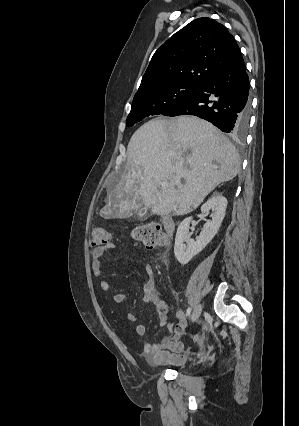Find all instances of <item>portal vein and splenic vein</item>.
Listing matches in <instances>:
<instances>
[{
	"instance_id": "obj_1",
	"label": "portal vein and splenic vein",
	"mask_w": 299,
	"mask_h": 426,
	"mask_svg": "<svg viewBox=\"0 0 299 426\" xmlns=\"http://www.w3.org/2000/svg\"><path fill=\"white\" fill-rule=\"evenodd\" d=\"M160 185H161L162 187H165V186L167 185V183H166V182H161V183H160Z\"/></svg>"
}]
</instances>
